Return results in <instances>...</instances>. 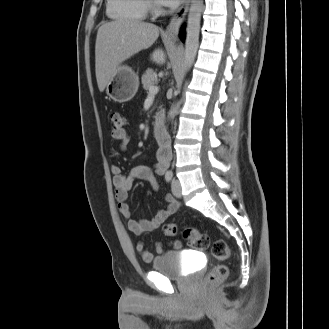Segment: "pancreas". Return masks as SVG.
I'll list each match as a JSON object with an SVG mask.
<instances>
[{
	"label": "pancreas",
	"mask_w": 329,
	"mask_h": 329,
	"mask_svg": "<svg viewBox=\"0 0 329 329\" xmlns=\"http://www.w3.org/2000/svg\"><path fill=\"white\" fill-rule=\"evenodd\" d=\"M156 80H157L156 74L152 69H147L141 77L143 88L147 91L149 90L151 85H154Z\"/></svg>",
	"instance_id": "cf45deb5"
}]
</instances>
